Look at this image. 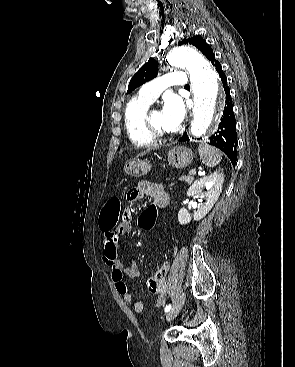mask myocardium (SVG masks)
<instances>
[{"instance_id":"f54148a6","label":"myocardium","mask_w":295,"mask_h":367,"mask_svg":"<svg viewBox=\"0 0 295 367\" xmlns=\"http://www.w3.org/2000/svg\"><path fill=\"white\" fill-rule=\"evenodd\" d=\"M154 109H148L146 114H145V118H144V123H145V128L148 132V134L154 139V140H164L167 139L171 136L170 133H165L162 132L161 130H159L153 123L152 121V117L151 114L153 112Z\"/></svg>"}]
</instances>
